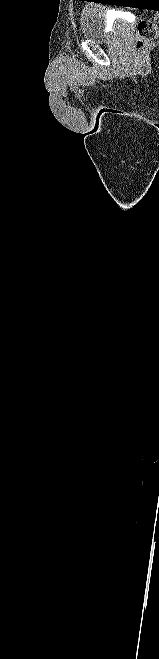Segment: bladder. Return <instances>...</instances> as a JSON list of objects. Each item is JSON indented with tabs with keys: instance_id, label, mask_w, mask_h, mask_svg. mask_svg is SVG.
<instances>
[{
	"instance_id": "31cf9c89",
	"label": "bladder",
	"mask_w": 159,
	"mask_h": 659,
	"mask_svg": "<svg viewBox=\"0 0 159 659\" xmlns=\"http://www.w3.org/2000/svg\"><path fill=\"white\" fill-rule=\"evenodd\" d=\"M123 23L112 25V31L107 32L106 9L97 5H87L82 9L80 27L83 36L92 41H106L109 36L120 33Z\"/></svg>"
}]
</instances>
